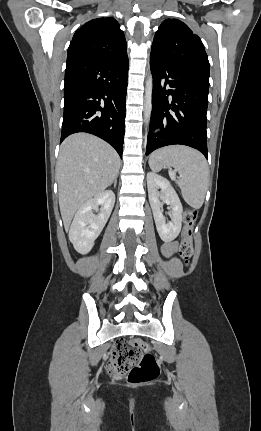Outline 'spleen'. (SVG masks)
<instances>
[{
  "mask_svg": "<svg viewBox=\"0 0 261 431\" xmlns=\"http://www.w3.org/2000/svg\"><path fill=\"white\" fill-rule=\"evenodd\" d=\"M149 166L153 171L173 167L180 175L177 184L185 202L195 209L203 205L209 170L201 153L184 146L165 147L151 154Z\"/></svg>",
  "mask_w": 261,
  "mask_h": 431,
  "instance_id": "3e777b00",
  "label": "spleen"
}]
</instances>
